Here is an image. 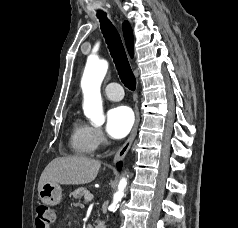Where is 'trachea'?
<instances>
[{
	"mask_svg": "<svg viewBox=\"0 0 238 228\" xmlns=\"http://www.w3.org/2000/svg\"><path fill=\"white\" fill-rule=\"evenodd\" d=\"M97 17L100 20L103 36L108 45L120 79L128 89L134 91L136 88V79L128 62L119 33L106 17V13L99 11Z\"/></svg>",
	"mask_w": 238,
	"mask_h": 228,
	"instance_id": "trachea-1",
	"label": "trachea"
}]
</instances>
